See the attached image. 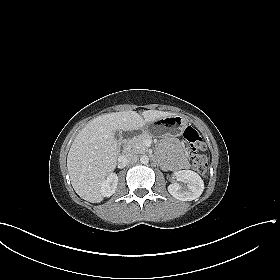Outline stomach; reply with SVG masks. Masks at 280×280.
Wrapping results in <instances>:
<instances>
[{
  "mask_svg": "<svg viewBox=\"0 0 280 280\" xmlns=\"http://www.w3.org/2000/svg\"><path fill=\"white\" fill-rule=\"evenodd\" d=\"M187 125V121L183 116L173 115L156 120L155 122L148 123L143 130L155 131L162 130L170 136H180L182 131Z\"/></svg>",
  "mask_w": 280,
  "mask_h": 280,
  "instance_id": "obj_1",
  "label": "stomach"
}]
</instances>
